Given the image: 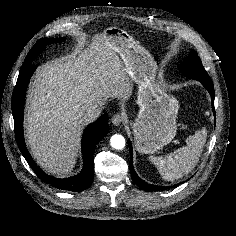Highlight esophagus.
<instances>
[{
	"label": "esophagus",
	"instance_id": "34e87169",
	"mask_svg": "<svg viewBox=\"0 0 236 236\" xmlns=\"http://www.w3.org/2000/svg\"><path fill=\"white\" fill-rule=\"evenodd\" d=\"M122 121H123V117L121 114H115L111 118V122L114 126H119Z\"/></svg>",
	"mask_w": 236,
	"mask_h": 236
}]
</instances>
